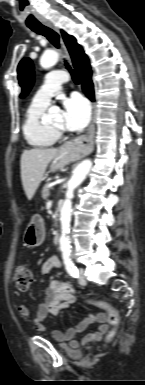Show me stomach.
Wrapping results in <instances>:
<instances>
[{"mask_svg": "<svg viewBox=\"0 0 145 385\" xmlns=\"http://www.w3.org/2000/svg\"><path fill=\"white\" fill-rule=\"evenodd\" d=\"M74 154L64 147L61 148L56 156L52 159L49 172H54L64 168L65 165L69 164L74 160ZM45 239V227L43 220L34 216L26 230L24 232V242L28 247H37L40 246Z\"/></svg>", "mask_w": 145, "mask_h": 385, "instance_id": "obj_1", "label": "stomach"}]
</instances>
